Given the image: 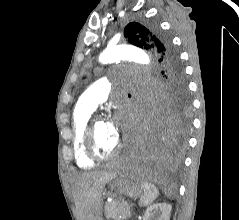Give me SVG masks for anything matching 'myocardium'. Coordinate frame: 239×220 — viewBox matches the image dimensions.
Here are the masks:
<instances>
[{
	"instance_id": "1",
	"label": "myocardium",
	"mask_w": 239,
	"mask_h": 220,
	"mask_svg": "<svg viewBox=\"0 0 239 220\" xmlns=\"http://www.w3.org/2000/svg\"><path fill=\"white\" fill-rule=\"evenodd\" d=\"M104 118L100 115H94L88 120L85 135L84 145L87 155L94 161H104L114 158L123 148V143L118 142L117 146L109 153H100L95 140V126L98 121H102Z\"/></svg>"
}]
</instances>
